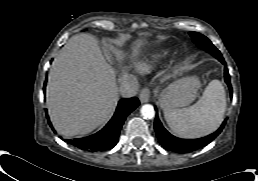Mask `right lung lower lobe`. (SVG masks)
Segmentation results:
<instances>
[{
    "label": "right lung lower lobe",
    "mask_w": 258,
    "mask_h": 181,
    "mask_svg": "<svg viewBox=\"0 0 258 181\" xmlns=\"http://www.w3.org/2000/svg\"><path fill=\"white\" fill-rule=\"evenodd\" d=\"M46 85H44L45 90ZM139 100L136 97L123 98L119 101L116 112L108 124L96 134L85 138L64 140L69 144L87 151H104L113 148L119 138L121 127L126 117L137 108ZM50 126H52L50 124Z\"/></svg>",
    "instance_id": "98d812e1"
}]
</instances>
